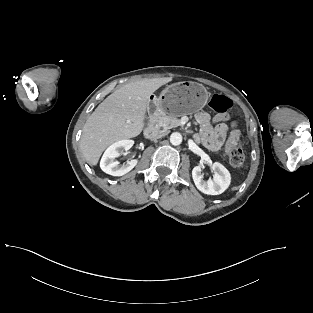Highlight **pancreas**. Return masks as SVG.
Here are the masks:
<instances>
[{
  "mask_svg": "<svg viewBox=\"0 0 313 313\" xmlns=\"http://www.w3.org/2000/svg\"><path fill=\"white\" fill-rule=\"evenodd\" d=\"M155 117L157 125L164 130L181 126V121L176 116L167 115L163 111L157 112Z\"/></svg>",
  "mask_w": 313,
  "mask_h": 313,
  "instance_id": "pancreas-1",
  "label": "pancreas"
}]
</instances>
